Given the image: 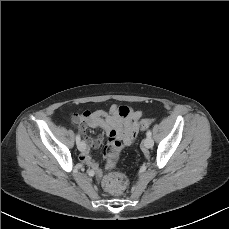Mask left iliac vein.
<instances>
[{"label": "left iliac vein", "mask_w": 229, "mask_h": 229, "mask_svg": "<svg viewBox=\"0 0 229 229\" xmlns=\"http://www.w3.org/2000/svg\"><path fill=\"white\" fill-rule=\"evenodd\" d=\"M143 144H144V146L146 147V148H152L153 147V144H154V142H153V140H152V138L151 137H146L144 140H143Z\"/></svg>", "instance_id": "obj_1"}]
</instances>
